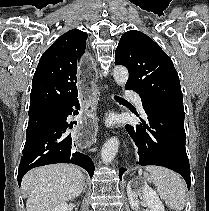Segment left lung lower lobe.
Returning a JSON list of instances; mask_svg holds the SVG:
<instances>
[{"instance_id":"0a47b994","label":"left lung lower lobe","mask_w":209,"mask_h":211,"mask_svg":"<svg viewBox=\"0 0 209 211\" xmlns=\"http://www.w3.org/2000/svg\"><path fill=\"white\" fill-rule=\"evenodd\" d=\"M143 107L147 116L144 119L140 117V125L125 126L139 148L138 164L169 168L179 173L190 189V165L185 149L183 106L143 103ZM125 171L123 168L119 171L120 179Z\"/></svg>"}]
</instances>
